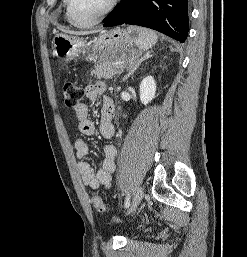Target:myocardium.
I'll list each match as a JSON object with an SVG mask.
<instances>
[{"instance_id": "f54148a6", "label": "myocardium", "mask_w": 247, "mask_h": 257, "mask_svg": "<svg viewBox=\"0 0 247 257\" xmlns=\"http://www.w3.org/2000/svg\"><path fill=\"white\" fill-rule=\"evenodd\" d=\"M119 1L120 0H111L108 6L104 9V11L100 13L95 19L89 22H80L74 17L73 11H72V0H66V11H67L69 20L72 24L80 28H88L98 24L106 16H108L115 9Z\"/></svg>"}]
</instances>
